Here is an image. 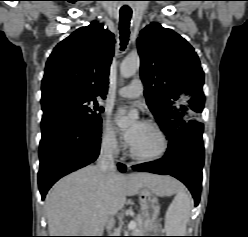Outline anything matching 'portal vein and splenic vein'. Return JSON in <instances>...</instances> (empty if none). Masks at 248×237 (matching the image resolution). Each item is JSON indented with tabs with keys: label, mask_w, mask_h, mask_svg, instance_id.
Listing matches in <instances>:
<instances>
[{
	"label": "portal vein and splenic vein",
	"mask_w": 248,
	"mask_h": 237,
	"mask_svg": "<svg viewBox=\"0 0 248 237\" xmlns=\"http://www.w3.org/2000/svg\"><path fill=\"white\" fill-rule=\"evenodd\" d=\"M136 226H137L136 222L132 220L128 224V229L133 230L134 228H136Z\"/></svg>",
	"instance_id": "portal-vein-and-splenic-vein-1"
}]
</instances>
